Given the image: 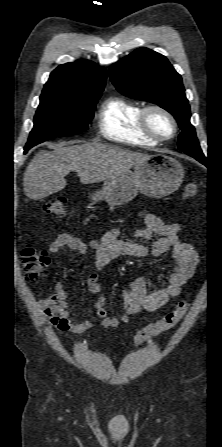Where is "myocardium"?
Here are the masks:
<instances>
[{"mask_svg": "<svg viewBox=\"0 0 222 447\" xmlns=\"http://www.w3.org/2000/svg\"><path fill=\"white\" fill-rule=\"evenodd\" d=\"M152 112H158V113L164 115L170 121V123L172 125V132L170 135L162 136V135L157 134L155 131H153V129L151 128V126L149 124V115ZM139 123H140V127H141L142 131L157 141H166V140L173 138L176 135L177 130H178L177 121H176L175 117L173 116V114L171 112H169L167 109H165L164 107H162L160 105H156V104H150V105H147L142 108V110L140 112V116H139Z\"/></svg>", "mask_w": 222, "mask_h": 447, "instance_id": "f54148a6", "label": "myocardium"}]
</instances>
